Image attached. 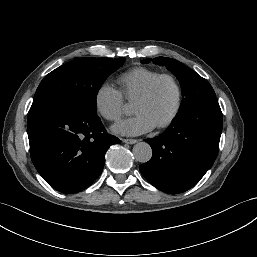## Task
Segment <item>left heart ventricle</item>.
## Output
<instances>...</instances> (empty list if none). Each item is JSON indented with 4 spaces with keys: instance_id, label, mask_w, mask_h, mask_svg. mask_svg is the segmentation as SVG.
<instances>
[{
    "instance_id": "obj_1",
    "label": "left heart ventricle",
    "mask_w": 257,
    "mask_h": 257,
    "mask_svg": "<svg viewBox=\"0 0 257 257\" xmlns=\"http://www.w3.org/2000/svg\"><path fill=\"white\" fill-rule=\"evenodd\" d=\"M175 103V87L170 80L163 79L147 99L134 102L132 109L135 113H143L157 126L171 115Z\"/></svg>"
}]
</instances>
